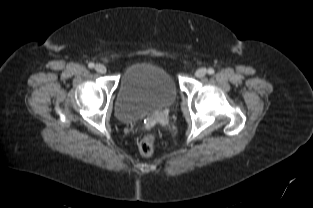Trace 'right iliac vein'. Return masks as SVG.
Returning <instances> with one entry per match:
<instances>
[{
  "label": "right iliac vein",
  "instance_id": "1",
  "mask_svg": "<svg viewBox=\"0 0 313 208\" xmlns=\"http://www.w3.org/2000/svg\"><path fill=\"white\" fill-rule=\"evenodd\" d=\"M95 70H96L98 73H101V74L106 73V67H105L103 64H97V65L95 66Z\"/></svg>",
  "mask_w": 313,
  "mask_h": 208
}]
</instances>
